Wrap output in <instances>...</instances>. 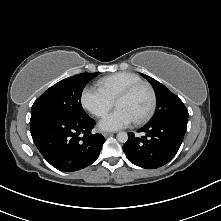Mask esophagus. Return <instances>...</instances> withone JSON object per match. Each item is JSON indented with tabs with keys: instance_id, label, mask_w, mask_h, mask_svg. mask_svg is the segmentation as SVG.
<instances>
[{
	"instance_id": "1",
	"label": "esophagus",
	"mask_w": 221,
	"mask_h": 221,
	"mask_svg": "<svg viewBox=\"0 0 221 221\" xmlns=\"http://www.w3.org/2000/svg\"><path fill=\"white\" fill-rule=\"evenodd\" d=\"M113 133L112 132H103V136L104 137H108V136H111Z\"/></svg>"
}]
</instances>
